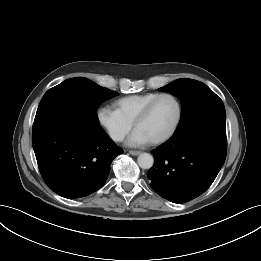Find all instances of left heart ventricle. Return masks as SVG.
<instances>
[{
    "label": "left heart ventricle",
    "instance_id": "left-heart-ventricle-1",
    "mask_svg": "<svg viewBox=\"0 0 261 261\" xmlns=\"http://www.w3.org/2000/svg\"><path fill=\"white\" fill-rule=\"evenodd\" d=\"M177 115V106L170 98L160 99L148 117L135 129L143 132L150 141L166 134L172 127Z\"/></svg>",
    "mask_w": 261,
    "mask_h": 261
}]
</instances>
